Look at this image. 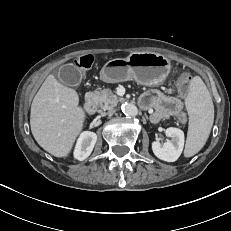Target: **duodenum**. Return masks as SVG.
Returning <instances> with one entry per match:
<instances>
[{"label": "duodenum", "instance_id": "410a0bca", "mask_svg": "<svg viewBox=\"0 0 231 231\" xmlns=\"http://www.w3.org/2000/svg\"><path fill=\"white\" fill-rule=\"evenodd\" d=\"M84 110L88 114H93L97 110V102L93 96H88L84 102Z\"/></svg>", "mask_w": 231, "mask_h": 231}]
</instances>
